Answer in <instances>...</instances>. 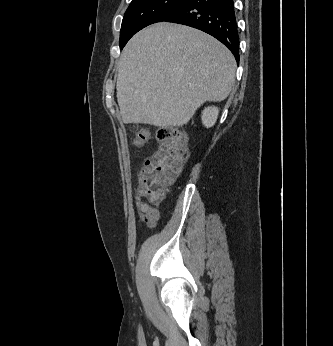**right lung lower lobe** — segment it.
<instances>
[{
  "mask_svg": "<svg viewBox=\"0 0 333 346\" xmlns=\"http://www.w3.org/2000/svg\"><path fill=\"white\" fill-rule=\"evenodd\" d=\"M164 21L212 35L239 61V33L233 0H184Z\"/></svg>",
  "mask_w": 333,
  "mask_h": 346,
  "instance_id": "right-lung-lower-lobe-1",
  "label": "right lung lower lobe"
}]
</instances>
